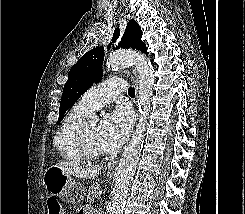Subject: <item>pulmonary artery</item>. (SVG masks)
Listing matches in <instances>:
<instances>
[{"mask_svg": "<svg viewBox=\"0 0 245 214\" xmlns=\"http://www.w3.org/2000/svg\"><path fill=\"white\" fill-rule=\"evenodd\" d=\"M124 88L125 81L123 79H108L89 89L79 102L93 112L114 101Z\"/></svg>", "mask_w": 245, "mask_h": 214, "instance_id": "e3ab8cb5", "label": "pulmonary artery"}]
</instances>
